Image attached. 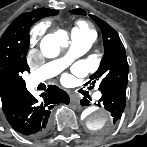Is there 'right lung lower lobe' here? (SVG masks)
I'll use <instances>...</instances> for the list:
<instances>
[{"label": "right lung lower lobe", "instance_id": "right-lung-lower-lobe-1", "mask_svg": "<svg viewBox=\"0 0 147 147\" xmlns=\"http://www.w3.org/2000/svg\"><path fill=\"white\" fill-rule=\"evenodd\" d=\"M37 100L28 93L22 100L3 109L6 119L17 132L30 137H37L46 132L50 111L57 103L68 104V94L57 86H48L46 93Z\"/></svg>", "mask_w": 147, "mask_h": 147}]
</instances>
